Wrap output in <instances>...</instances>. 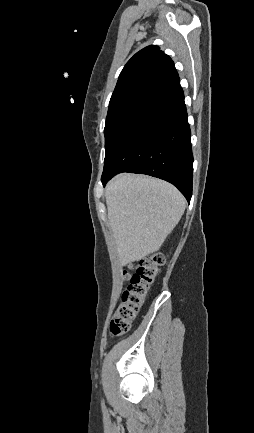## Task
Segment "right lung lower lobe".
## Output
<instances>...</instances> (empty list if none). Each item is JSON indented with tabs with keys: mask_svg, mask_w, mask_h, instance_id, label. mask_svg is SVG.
I'll return each mask as SVG.
<instances>
[{
	"mask_svg": "<svg viewBox=\"0 0 254 433\" xmlns=\"http://www.w3.org/2000/svg\"><path fill=\"white\" fill-rule=\"evenodd\" d=\"M184 94L177 77L127 121L104 165L105 185L121 172L147 174L175 185L190 202L193 155Z\"/></svg>",
	"mask_w": 254,
	"mask_h": 433,
	"instance_id": "98d812e1",
	"label": "right lung lower lobe"
}]
</instances>
